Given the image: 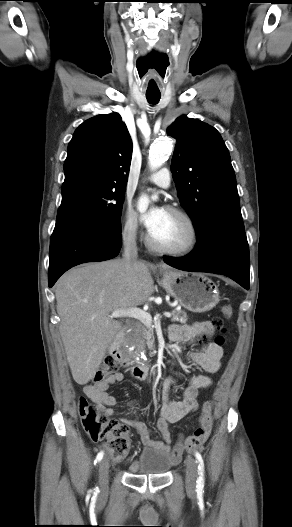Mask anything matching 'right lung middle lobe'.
I'll list each match as a JSON object with an SVG mask.
<instances>
[{
    "label": "right lung middle lobe",
    "mask_w": 292,
    "mask_h": 527,
    "mask_svg": "<svg viewBox=\"0 0 292 527\" xmlns=\"http://www.w3.org/2000/svg\"><path fill=\"white\" fill-rule=\"evenodd\" d=\"M125 188L77 180L62 185V202L57 219L71 217L90 220L121 232Z\"/></svg>",
    "instance_id": "right-lung-middle-lobe-1"
}]
</instances>
